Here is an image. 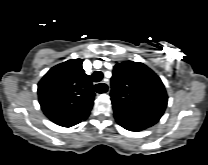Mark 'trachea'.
Listing matches in <instances>:
<instances>
[{
	"instance_id": "obj_1",
	"label": "trachea",
	"mask_w": 208,
	"mask_h": 165,
	"mask_svg": "<svg viewBox=\"0 0 208 165\" xmlns=\"http://www.w3.org/2000/svg\"><path fill=\"white\" fill-rule=\"evenodd\" d=\"M102 78H103V73L101 71H96L92 74L93 82H100ZM94 89L97 93H105L107 91V87L102 84L95 85Z\"/></svg>"
}]
</instances>
